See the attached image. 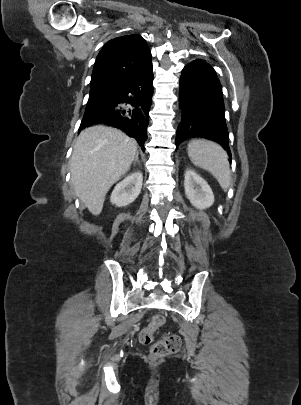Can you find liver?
Masks as SVG:
<instances>
[{
    "label": "liver",
    "mask_w": 301,
    "mask_h": 405,
    "mask_svg": "<svg viewBox=\"0 0 301 405\" xmlns=\"http://www.w3.org/2000/svg\"><path fill=\"white\" fill-rule=\"evenodd\" d=\"M137 142L122 131L96 125L83 130L71 157V184L76 196L95 216L102 211L111 186L126 174Z\"/></svg>",
    "instance_id": "liver-1"
}]
</instances>
